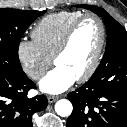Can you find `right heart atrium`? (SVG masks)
Listing matches in <instances>:
<instances>
[{"mask_svg":"<svg viewBox=\"0 0 127 127\" xmlns=\"http://www.w3.org/2000/svg\"><path fill=\"white\" fill-rule=\"evenodd\" d=\"M16 53L23 71L34 81L40 80L52 64V59L41 51L34 40H20Z\"/></svg>","mask_w":127,"mask_h":127,"instance_id":"d8ad5b80","label":"right heart atrium"}]
</instances>
